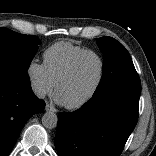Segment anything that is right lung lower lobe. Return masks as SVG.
Returning <instances> with one entry per match:
<instances>
[{"mask_svg": "<svg viewBox=\"0 0 156 156\" xmlns=\"http://www.w3.org/2000/svg\"><path fill=\"white\" fill-rule=\"evenodd\" d=\"M44 107L32 93L30 79L0 73V156L11 152L27 120Z\"/></svg>", "mask_w": 156, "mask_h": 156, "instance_id": "98d812e1", "label": "right lung lower lobe"}]
</instances>
